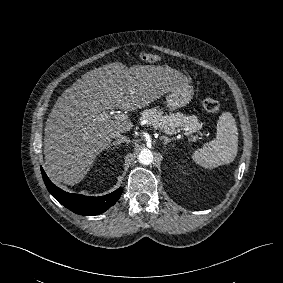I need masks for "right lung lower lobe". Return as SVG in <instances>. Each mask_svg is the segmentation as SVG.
I'll list each match as a JSON object with an SVG mask.
<instances>
[{
  "label": "right lung lower lobe",
  "mask_w": 283,
  "mask_h": 283,
  "mask_svg": "<svg viewBox=\"0 0 283 283\" xmlns=\"http://www.w3.org/2000/svg\"><path fill=\"white\" fill-rule=\"evenodd\" d=\"M41 172L44 183L51 195L69 210L80 215H98L105 212L119 200L123 191V188L120 187L114 192L101 197L71 194L55 186L42 167Z\"/></svg>",
  "instance_id": "right-lung-lower-lobe-1"
}]
</instances>
